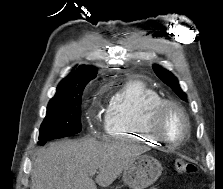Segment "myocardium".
Instances as JSON below:
<instances>
[{
  "mask_svg": "<svg viewBox=\"0 0 223 189\" xmlns=\"http://www.w3.org/2000/svg\"><path fill=\"white\" fill-rule=\"evenodd\" d=\"M175 109L182 117L184 122V134L176 142H170L166 139L161 132V120L163 115L168 109ZM149 133L158 139L161 143L166 144L169 147H178L184 143L190 135L191 125L189 117L184 108L175 101L162 99L160 100L148 114V127Z\"/></svg>",
  "mask_w": 223,
  "mask_h": 189,
  "instance_id": "myocardium-1",
  "label": "myocardium"
}]
</instances>
